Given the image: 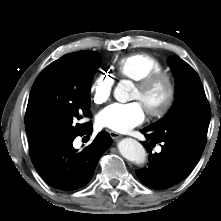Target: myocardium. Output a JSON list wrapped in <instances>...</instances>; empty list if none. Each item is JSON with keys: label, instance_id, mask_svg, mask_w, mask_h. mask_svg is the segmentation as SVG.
<instances>
[{"label": "myocardium", "instance_id": "f54148a6", "mask_svg": "<svg viewBox=\"0 0 221 221\" xmlns=\"http://www.w3.org/2000/svg\"><path fill=\"white\" fill-rule=\"evenodd\" d=\"M158 82H164L167 88L166 98L163 104L156 109H147L151 117L160 118L165 116L172 108L176 98V84L173 75L166 70H159L149 73L136 81V86L147 91Z\"/></svg>", "mask_w": 221, "mask_h": 221}]
</instances>
